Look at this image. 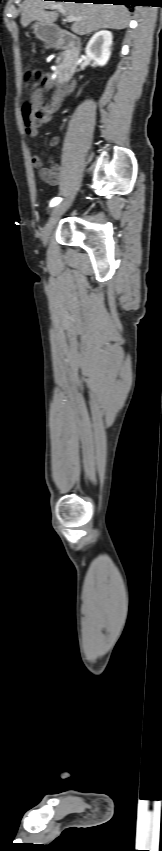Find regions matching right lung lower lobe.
<instances>
[{
  "instance_id": "1",
  "label": "right lung lower lobe",
  "mask_w": 162,
  "mask_h": 851,
  "mask_svg": "<svg viewBox=\"0 0 162 851\" xmlns=\"http://www.w3.org/2000/svg\"><path fill=\"white\" fill-rule=\"evenodd\" d=\"M62 1V0H57ZM64 1V0H63ZM75 2H84V3H94V4H108L112 3L114 5H126L127 7L135 6V0H74Z\"/></svg>"
}]
</instances>
